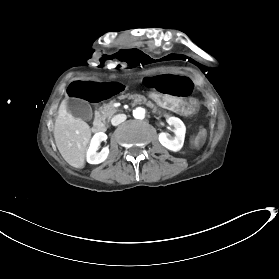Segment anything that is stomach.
<instances>
[{
    "label": "stomach",
    "mask_w": 279,
    "mask_h": 279,
    "mask_svg": "<svg viewBox=\"0 0 279 279\" xmlns=\"http://www.w3.org/2000/svg\"><path fill=\"white\" fill-rule=\"evenodd\" d=\"M150 98L152 100H155L158 105H162L163 108L167 110L173 109L174 111H178L188 117L195 115L198 109L196 100L192 98L185 99L183 97H180L178 99H175V97L167 95L162 99L159 93H152L150 95Z\"/></svg>",
    "instance_id": "0dacf381"
}]
</instances>
